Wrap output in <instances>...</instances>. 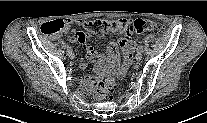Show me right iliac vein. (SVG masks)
Segmentation results:
<instances>
[{
    "mask_svg": "<svg viewBox=\"0 0 207 123\" xmlns=\"http://www.w3.org/2000/svg\"><path fill=\"white\" fill-rule=\"evenodd\" d=\"M68 56L70 59H73L75 57L72 50L68 52Z\"/></svg>",
    "mask_w": 207,
    "mask_h": 123,
    "instance_id": "obj_1",
    "label": "right iliac vein"
}]
</instances>
